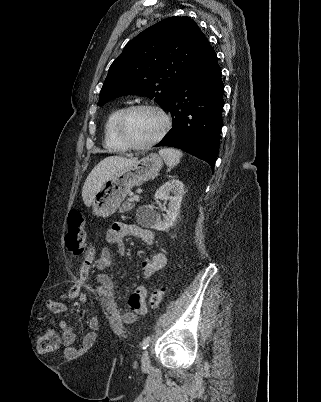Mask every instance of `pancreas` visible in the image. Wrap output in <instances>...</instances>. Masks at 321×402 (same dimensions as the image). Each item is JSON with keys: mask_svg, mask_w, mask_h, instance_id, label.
Returning a JSON list of instances; mask_svg holds the SVG:
<instances>
[{"mask_svg": "<svg viewBox=\"0 0 321 402\" xmlns=\"http://www.w3.org/2000/svg\"><path fill=\"white\" fill-rule=\"evenodd\" d=\"M134 207H135V204H134V202H133V199H132V200H128V201H126V202H124V203L122 204V206L119 208V212H120V213L129 212V211H131Z\"/></svg>", "mask_w": 321, "mask_h": 402, "instance_id": "pancreas-1", "label": "pancreas"}]
</instances>
